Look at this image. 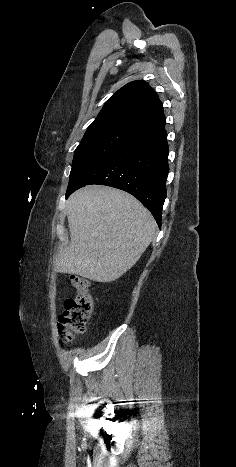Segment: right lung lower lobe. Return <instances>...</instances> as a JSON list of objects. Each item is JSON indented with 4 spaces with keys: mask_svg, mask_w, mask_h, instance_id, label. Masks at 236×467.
Masks as SVG:
<instances>
[{
    "mask_svg": "<svg viewBox=\"0 0 236 467\" xmlns=\"http://www.w3.org/2000/svg\"><path fill=\"white\" fill-rule=\"evenodd\" d=\"M166 137L165 122L139 133L68 186L66 197L85 185L112 186L135 196L161 226L169 172Z\"/></svg>",
    "mask_w": 236,
    "mask_h": 467,
    "instance_id": "1",
    "label": "right lung lower lobe"
}]
</instances>
